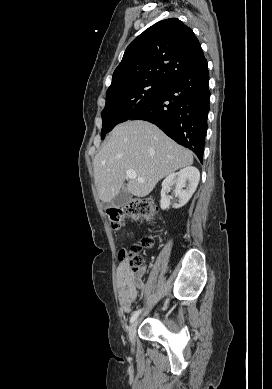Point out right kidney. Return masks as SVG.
<instances>
[{
	"instance_id": "obj_1",
	"label": "right kidney",
	"mask_w": 272,
	"mask_h": 389,
	"mask_svg": "<svg viewBox=\"0 0 272 389\" xmlns=\"http://www.w3.org/2000/svg\"><path fill=\"white\" fill-rule=\"evenodd\" d=\"M200 180V172L196 167L188 166L176 173H172L166 177L162 183L161 202L162 210L170 207L171 196L168 192L171 186L175 185V196L178 197V203L174 204V208L184 206L192 197ZM185 188V189H184Z\"/></svg>"
}]
</instances>
